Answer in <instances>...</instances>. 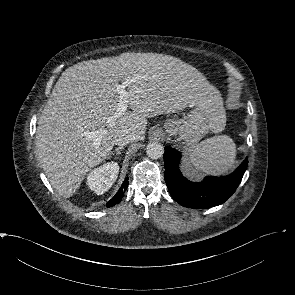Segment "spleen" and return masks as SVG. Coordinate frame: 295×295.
<instances>
[{"label":"spleen","mask_w":295,"mask_h":295,"mask_svg":"<svg viewBox=\"0 0 295 295\" xmlns=\"http://www.w3.org/2000/svg\"><path fill=\"white\" fill-rule=\"evenodd\" d=\"M192 165L200 172L222 174L235 165L236 145L226 135L203 140L189 147Z\"/></svg>","instance_id":"spleen-1"}]
</instances>
